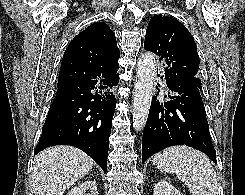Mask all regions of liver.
<instances>
[{
    "label": "liver",
    "instance_id": "obj_1",
    "mask_svg": "<svg viewBox=\"0 0 245 195\" xmlns=\"http://www.w3.org/2000/svg\"><path fill=\"white\" fill-rule=\"evenodd\" d=\"M92 166L93 160L78 148L61 145L44 150L34 160L33 191L35 195H62Z\"/></svg>",
    "mask_w": 245,
    "mask_h": 195
}]
</instances>
